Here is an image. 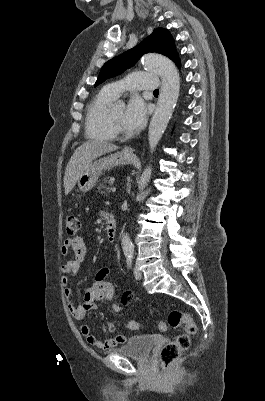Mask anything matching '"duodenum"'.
<instances>
[{
  "instance_id": "1",
  "label": "duodenum",
  "mask_w": 265,
  "mask_h": 401,
  "mask_svg": "<svg viewBox=\"0 0 265 401\" xmlns=\"http://www.w3.org/2000/svg\"><path fill=\"white\" fill-rule=\"evenodd\" d=\"M106 225V236L109 242H114L116 238L117 222L113 214L104 213L103 215Z\"/></svg>"
}]
</instances>
